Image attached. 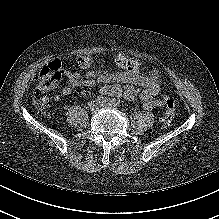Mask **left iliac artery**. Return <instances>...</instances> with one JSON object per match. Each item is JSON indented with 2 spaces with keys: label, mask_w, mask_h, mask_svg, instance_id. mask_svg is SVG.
Instances as JSON below:
<instances>
[{
  "label": "left iliac artery",
  "mask_w": 219,
  "mask_h": 219,
  "mask_svg": "<svg viewBox=\"0 0 219 219\" xmlns=\"http://www.w3.org/2000/svg\"><path fill=\"white\" fill-rule=\"evenodd\" d=\"M112 102H113V104L115 106H119L120 105V99H118V98L113 99Z\"/></svg>",
  "instance_id": "44dca946"
}]
</instances>
